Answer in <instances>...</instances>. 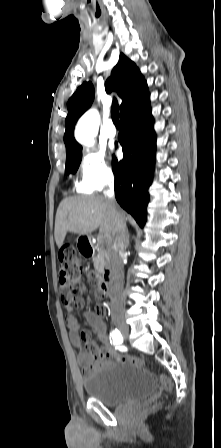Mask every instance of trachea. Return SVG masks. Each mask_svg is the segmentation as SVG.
Here are the masks:
<instances>
[{
    "instance_id": "1",
    "label": "trachea",
    "mask_w": 221,
    "mask_h": 448,
    "mask_svg": "<svg viewBox=\"0 0 221 448\" xmlns=\"http://www.w3.org/2000/svg\"><path fill=\"white\" fill-rule=\"evenodd\" d=\"M111 117L113 120V123L116 126H120V121H119V107H118V102L116 100V98L113 99L112 101V106H111Z\"/></svg>"
}]
</instances>
